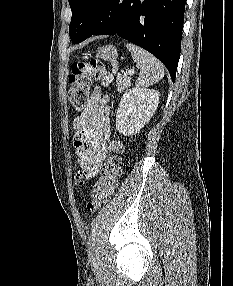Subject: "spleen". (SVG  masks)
<instances>
[{
    "label": "spleen",
    "mask_w": 233,
    "mask_h": 286,
    "mask_svg": "<svg viewBox=\"0 0 233 286\" xmlns=\"http://www.w3.org/2000/svg\"><path fill=\"white\" fill-rule=\"evenodd\" d=\"M126 47L140 69V77L136 83L137 87L146 88L162 79L164 66L155 56L132 43H127Z\"/></svg>",
    "instance_id": "3e777b00"
}]
</instances>
